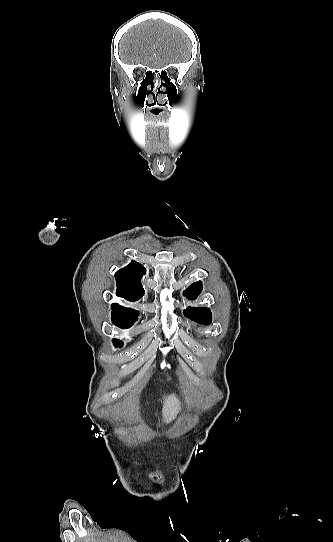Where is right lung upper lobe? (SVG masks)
Segmentation results:
<instances>
[{
	"instance_id": "cb5924a9",
	"label": "right lung upper lobe",
	"mask_w": 333,
	"mask_h": 542,
	"mask_svg": "<svg viewBox=\"0 0 333 542\" xmlns=\"http://www.w3.org/2000/svg\"><path fill=\"white\" fill-rule=\"evenodd\" d=\"M146 269L135 261H132L127 267L115 273L117 283V295L129 301H136L144 294L141 284V278ZM112 317L125 319H138L139 312L130 308L112 304Z\"/></svg>"
}]
</instances>
